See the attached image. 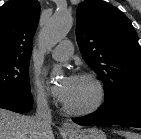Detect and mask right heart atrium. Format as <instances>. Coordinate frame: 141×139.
Wrapping results in <instances>:
<instances>
[{
  "label": "right heart atrium",
  "instance_id": "obj_1",
  "mask_svg": "<svg viewBox=\"0 0 141 139\" xmlns=\"http://www.w3.org/2000/svg\"><path fill=\"white\" fill-rule=\"evenodd\" d=\"M31 85H32L33 94L36 101L42 105L47 104L49 101V95L47 91L45 90V88L40 83V81L37 78H32Z\"/></svg>",
  "mask_w": 141,
  "mask_h": 139
}]
</instances>
